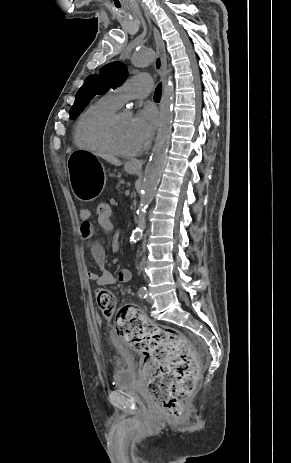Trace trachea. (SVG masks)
I'll return each instance as SVG.
<instances>
[{"instance_id":"3493384b","label":"trachea","mask_w":291,"mask_h":463,"mask_svg":"<svg viewBox=\"0 0 291 463\" xmlns=\"http://www.w3.org/2000/svg\"><path fill=\"white\" fill-rule=\"evenodd\" d=\"M161 98V84L158 85L157 89L155 90L154 93V99L155 100H160Z\"/></svg>"}]
</instances>
